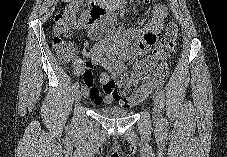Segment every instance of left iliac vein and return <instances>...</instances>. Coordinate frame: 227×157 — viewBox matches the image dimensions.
Masks as SVG:
<instances>
[{"instance_id": "4c4485c4", "label": "left iliac vein", "mask_w": 227, "mask_h": 157, "mask_svg": "<svg viewBox=\"0 0 227 157\" xmlns=\"http://www.w3.org/2000/svg\"><path fill=\"white\" fill-rule=\"evenodd\" d=\"M153 119L157 123L162 120V108L158 99H154Z\"/></svg>"}]
</instances>
